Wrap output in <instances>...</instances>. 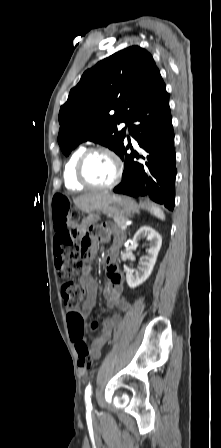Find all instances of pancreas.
Returning a JSON list of instances; mask_svg holds the SVG:
<instances>
[{
    "label": "pancreas",
    "mask_w": 221,
    "mask_h": 448,
    "mask_svg": "<svg viewBox=\"0 0 221 448\" xmlns=\"http://www.w3.org/2000/svg\"><path fill=\"white\" fill-rule=\"evenodd\" d=\"M113 219H114L116 226L121 229H122V226L124 225V223L128 220L127 217H121V216H114Z\"/></svg>",
    "instance_id": "pancreas-1"
}]
</instances>
